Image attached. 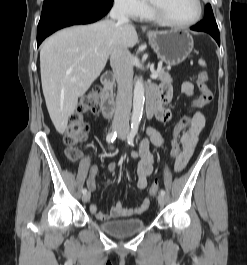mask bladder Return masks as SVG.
<instances>
[{"mask_svg":"<svg viewBox=\"0 0 247 265\" xmlns=\"http://www.w3.org/2000/svg\"><path fill=\"white\" fill-rule=\"evenodd\" d=\"M100 228L110 236L124 239L141 232L145 228L142 219H121L104 221L100 223Z\"/></svg>","mask_w":247,"mask_h":265,"instance_id":"1","label":"bladder"}]
</instances>
